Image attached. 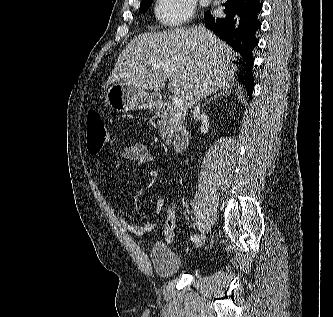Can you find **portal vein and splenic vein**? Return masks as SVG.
Here are the masks:
<instances>
[{
	"label": "portal vein and splenic vein",
	"instance_id": "18ae733b",
	"mask_svg": "<svg viewBox=\"0 0 333 317\" xmlns=\"http://www.w3.org/2000/svg\"><path fill=\"white\" fill-rule=\"evenodd\" d=\"M169 73L172 72V69H168ZM183 106V101L180 97H173L172 99V107L174 108H181Z\"/></svg>",
	"mask_w": 333,
	"mask_h": 317
}]
</instances>
